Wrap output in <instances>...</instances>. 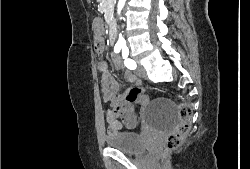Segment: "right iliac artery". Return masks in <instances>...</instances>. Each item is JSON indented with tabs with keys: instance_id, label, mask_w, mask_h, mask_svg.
I'll return each instance as SVG.
<instances>
[{
	"instance_id": "right-iliac-artery-1",
	"label": "right iliac artery",
	"mask_w": 250,
	"mask_h": 169,
	"mask_svg": "<svg viewBox=\"0 0 250 169\" xmlns=\"http://www.w3.org/2000/svg\"><path fill=\"white\" fill-rule=\"evenodd\" d=\"M114 51H115V53H118L120 51V49H118V48L115 47Z\"/></svg>"
}]
</instances>
